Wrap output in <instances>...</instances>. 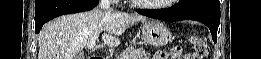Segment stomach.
Segmentation results:
<instances>
[{
	"label": "stomach",
	"mask_w": 261,
	"mask_h": 59,
	"mask_svg": "<svg viewBox=\"0 0 261 59\" xmlns=\"http://www.w3.org/2000/svg\"><path fill=\"white\" fill-rule=\"evenodd\" d=\"M141 37L144 43L155 47L165 46L173 40L168 27L158 20L143 21Z\"/></svg>",
	"instance_id": "obj_1"
}]
</instances>
